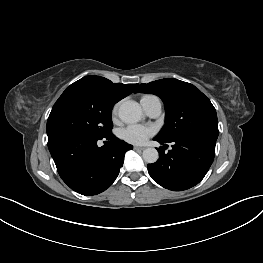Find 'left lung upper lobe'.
<instances>
[{"label":"left lung upper lobe","mask_w":263,"mask_h":263,"mask_svg":"<svg viewBox=\"0 0 263 263\" xmlns=\"http://www.w3.org/2000/svg\"><path fill=\"white\" fill-rule=\"evenodd\" d=\"M136 92L155 94L164 102L165 126L156 139L166 142L182 137L217 140L216 110L194 85L177 79H161L139 85Z\"/></svg>","instance_id":"1"}]
</instances>
